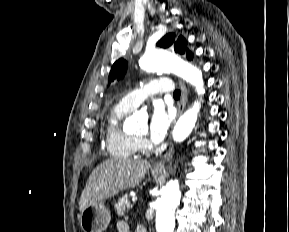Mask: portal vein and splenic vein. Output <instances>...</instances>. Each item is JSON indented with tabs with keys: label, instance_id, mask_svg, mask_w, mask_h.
Instances as JSON below:
<instances>
[{
	"label": "portal vein and splenic vein",
	"instance_id": "obj_1",
	"mask_svg": "<svg viewBox=\"0 0 289 232\" xmlns=\"http://www.w3.org/2000/svg\"><path fill=\"white\" fill-rule=\"evenodd\" d=\"M132 202H133V203H136V202H137V197H133V198H132Z\"/></svg>",
	"mask_w": 289,
	"mask_h": 232
}]
</instances>
